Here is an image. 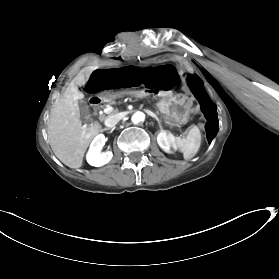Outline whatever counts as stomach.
I'll list each match as a JSON object with an SVG mask.
<instances>
[{"label":"stomach","instance_id":"1","mask_svg":"<svg viewBox=\"0 0 279 279\" xmlns=\"http://www.w3.org/2000/svg\"><path fill=\"white\" fill-rule=\"evenodd\" d=\"M191 110L190 99L181 95L167 96L157 106L158 115L163 119H169L174 125L184 124L188 120Z\"/></svg>","mask_w":279,"mask_h":279}]
</instances>
